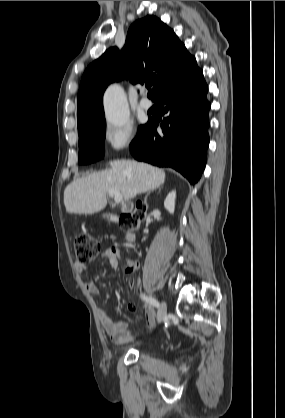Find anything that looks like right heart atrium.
Here are the masks:
<instances>
[{
  "mask_svg": "<svg viewBox=\"0 0 285 418\" xmlns=\"http://www.w3.org/2000/svg\"><path fill=\"white\" fill-rule=\"evenodd\" d=\"M103 141L109 152L119 153L131 147L134 133L130 126L109 125L104 131Z\"/></svg>",
  "mask_w": 285,
  "mask_h": 418,
  "instance_id": "right-heart-atrium-1",
  "label": "right heart atrium"
}]
</instances>
